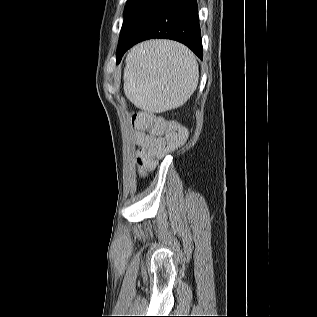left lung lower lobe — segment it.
I'll return each instance as SVG.
<instances>
[{
  "instance_id": "left-lung-lower-lobe-1",
  "label": "left lung lower lobe",
  "mask_w": 317,
  "mask_h": 317,
  "mask_svg": "<svg viewBox=\"0 0 317 317\" xmlns=\"http://www.w3.org/2000/svg\"><path fill=\"white\" fill-rule=\"evenodd\" d=\"M155 38L179 41L202 59L196 0H166L127 43L118 45L117 60L135 44Z\"/></svg>"
}]
</instances>
